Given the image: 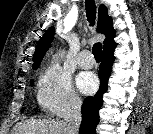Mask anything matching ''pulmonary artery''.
<instances>
[{
  "instance_id": "1",
  "label": "pulmonary artery",
  "mask_w": 153,
  "mask_h": 134,
  "mask_svg": "<svg viewBox=\"0 0 153 134\" xmlns=\"http://www.w3.org/2000/svg\"><path fill=\"white\" fill-rule=\"evenodd\" d=\"M78 64L80 67L88 69L94 65V59L90 51L83 50L78 57Z\"/></svg>"
}]
</instances>
